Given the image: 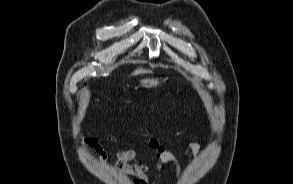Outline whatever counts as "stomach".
I'll use <instances>...</instances> for the list:
<instances>
[{
	"instance_id": "stomach-1",
	"label": "stomach",
	"mask_w": 293,
	"mask_h": 184,
	"mask_svg": "<svg viewBox=\"0 0 293 184\" xmlns=\"http://www.w3.org/2000/svg\"><path fill=\"white\" fill-rule=\"evenodd\" d=\"M140 85L145 88H152L157 87L161 84V81L157 78H151V77H143L139 80Z\"/></svg>"
}]
</instances>
